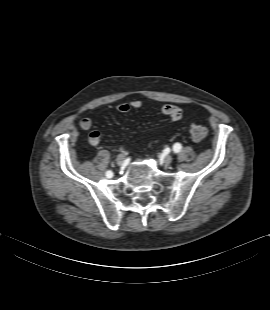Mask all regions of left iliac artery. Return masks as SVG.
<instances>
[{
    "label": "left iliac artery",
    "instance_id": "1",
    "mask_svg": "<svg viewBox=\"0 0 270 310\" xmlns=\"http://www.w3.org/2000/svg\"><path fill=\"white\" fill-rule=\"evenodd\" d=\"M181 148H182L181 144L176 143V144H174V146H173V151H174L175 153H178V152L181 150Z\"/></svg>",
    "mask_w": 270,
    "mask_h": 310
}]
</instances>
